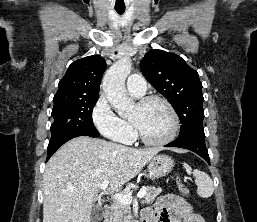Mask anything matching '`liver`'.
<instances>
[{
  "label": "liver",
  "mask_w": 257,
  "mask_h": 222,
  "mask_svg": "<svg viewBox=\"0 0 257 222\" xmlns=\"http://www.w3.org/2000/svg\"><path fill=\"white\" fill-rule=\"evenodd\" d=\"M161 148L135 149L87 136L74 138L49 159L43 175V222H90L100 185L120 190Z\"/></svg>",
  "instance_id": "1"
}]
</instances>
